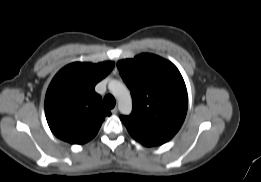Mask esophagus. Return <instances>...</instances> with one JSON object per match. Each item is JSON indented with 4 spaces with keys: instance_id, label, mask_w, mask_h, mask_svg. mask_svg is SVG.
Listing matches in <instances>:
<instances>
[{
    "instance_id": "1",
    "label": "esophagus",
    "mask_w": 261,
    "mask_h": 182,
    "mask_svg": "<svg viewBox=\"0 0 261 182\" xmlns=\"http://www.w3.org/2000/svg\"><path fill=\"white\" fill-rule=\"evenodd\" d=\"M111 113L112 114H117L118 113V109H117V107H114L112 110H111Z\"/></svg>"
}]
</instances>
